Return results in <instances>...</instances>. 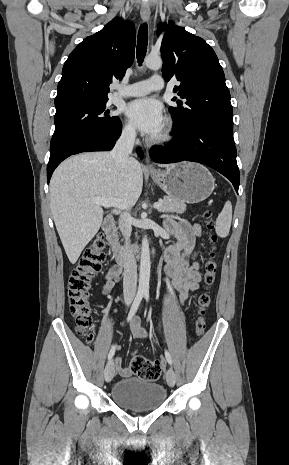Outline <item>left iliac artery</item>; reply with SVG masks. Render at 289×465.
Segmentation results:
<instances>
[{
    "label": "left iliac artery",
    "instance_id": "44dca946",
    "mask_svg": "<svg viewBox=\"0 0 289 465\" xmlns=\"http://www.w3.org/2000/svg\"><path fill=\"white\" fill-rule=\"evenodd\" d=\"M144 297H145L146 301H149V292L148 291L144 292ZM165 357H166L167 362L170 365H172V358H171L170 353L167 350H165Z\"/></svg>",
    "mask_w": 289,
    "mask_h": 465
}]
</instances>
